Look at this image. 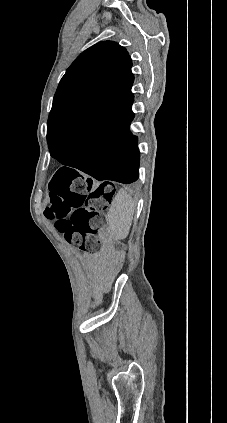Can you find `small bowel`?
<instances>
[{
	"mask_svg": "<svg viewBox=\"0 0 227 423\" xmlns=\"http://www.w3.org/2000/svg\"><path fill=\"white\" fill-rule=\"evenodd\" d=\"M94 259V257H90ZM117 269V263L113 260L111 263L105 268L103 273L100 276V284L107 283L111 280L112 276L114 275L115 271ZM94 299L96 303H99L101 300V292L99 290H96L94 293Z\"/></svg>",
	"mask_w": 227,
	"mask_h": 423,
	"instance_id": "obj_1",
	"label": "small bowel"
}]
</instances>
